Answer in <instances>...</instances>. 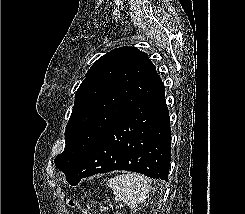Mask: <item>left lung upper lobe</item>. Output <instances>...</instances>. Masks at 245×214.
<instances>
[{
  "label": "left lung upper lobe",
  "instance_id": "1",
  "mask_svg": "<svg viewBox=\"0 0 245 214\" xmlns=\"http://www.w3.org/2000/svg\"><path fill=\"white\" fill-rule=\"evenodd\" d=\"M147 54L121 47L100 57L75 94L64 151L56 167L67 175L81 156L119 117L162 85Z\"/></svg>",
  "mask_w": 245,
  "mask_h": 214
}]
</instances>
